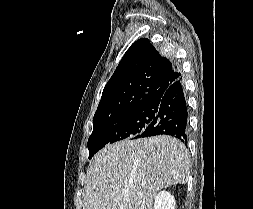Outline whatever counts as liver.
<instances>
[{
	"mask_svg": "<svg viewBox=\"0 0 253 209\" xmlns=\"http://www.w3.org/2000/svg\"><path fill=\"white\" fill-rule=\"evenodd\" d=\"M189 174L187 149L176 138L117 142L90 161L83 209H152L159 190L185 184Z\"/></svg>",
	"mask_w": 253,
	"mask_h": 209,
	"instance_id": "obj_1",
	"label": "liver"
}]
</instances>
